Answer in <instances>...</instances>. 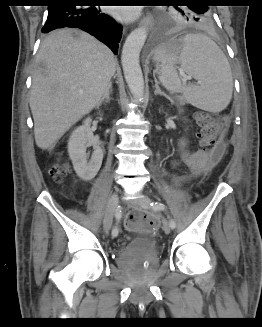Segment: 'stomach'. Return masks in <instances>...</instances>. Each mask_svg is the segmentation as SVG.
<instances>
[{
    "instance_id": "1",
    "label": "stomach",
    "mask_w": 262,
    "mask_h": 327,
    "mask_svg": "<svg viewBox=\"0 0 262 327\" xmlns=\"http://www.w3.org/2000/svg\"><path fill=\"white\" fill-rule=\"evenodd\" d=\"M166 53L168 54H175L177 55V53L179 52V46L178 45H169L166 47Z\"/></svg>"
}]
</instances>
